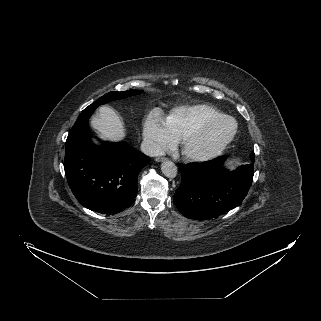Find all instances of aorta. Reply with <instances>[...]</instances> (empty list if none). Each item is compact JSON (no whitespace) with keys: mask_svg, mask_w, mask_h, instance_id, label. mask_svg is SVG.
Listing matches in <instances>:
<instances>
[{"mask_svg":"<svg viewBox=\"0 0 321 321\" xmlns=\"http://www.w3.org/2000/svg\"><path fill=\"white\" fill-rule=\"evenodd\" d=\"M162 173L168 178H174L177 175V166L172 161H164L161 164Z\"/></svg>","mask_w":321,"mask_h":321,"instance_id":"aorta-1","label":"aorta"}]
</instances>
